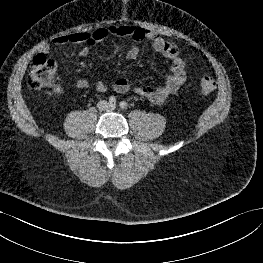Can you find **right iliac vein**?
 Returning a JSON list of instances; mask_svg holds the SVG:
<instances>
[{
    "label": "right iliac vein",
    "mask_w": 263,
    "mask_h": 263,
    "mask_svg": "<svg viewBox=\"0 0 263 263\" xmlns=\"http://www.w3.org/2000/svg\"><path fill=\"white\" fill-rule=\"evenodd\" d=\"M100 107H101L102 109H105V108L108 107V104H107L106 102H102V103L100 104Z\"/></svg>",
    "instance_id": "right-iliac-vein-1"
}]
</instances>
